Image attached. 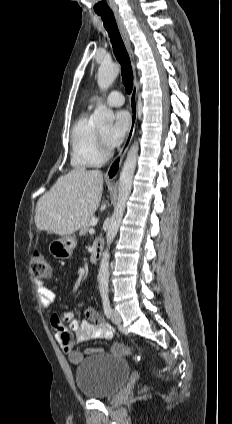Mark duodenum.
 Returning <instances> with one entry per match:
<instances>
[{
    "label": "duodenum",
    "mask_w": 232,
    "mask_h": 424,
    "mask_svg": "<svg viewBox=\"0 0 232 424\" xmlns=\"http://www.w3.org/2000/svg\"><path fill=\"white\" fill-rule=\"evenodd\" d=\"M102 248H103V241L98 240L95 243L92 254H91V262L92 263L98 262V260L100 259V256H101Z\"/></svg>",
    "instance_id": "410a0bca"
}]
</instances>
